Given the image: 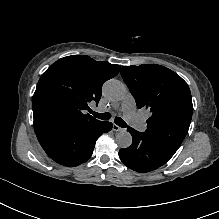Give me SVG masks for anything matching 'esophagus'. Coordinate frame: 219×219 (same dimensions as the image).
<instances>
[{
	"label": "esophagus",
	"mask_w": 219,
	"mask_h": 219,
	"mask_svg": "<svg viewBox=\"0 0 219 219\" xmlns=\"http://www.w3.org/2000/svg\"><path fill=\"white\" fill-rule=\"evenodd\" d=\"M113 131L115 132H121L123 128L119 127L117 124H113Z\"/></svg>",
	"instance_id": "34e87169"
}]
</instances>
